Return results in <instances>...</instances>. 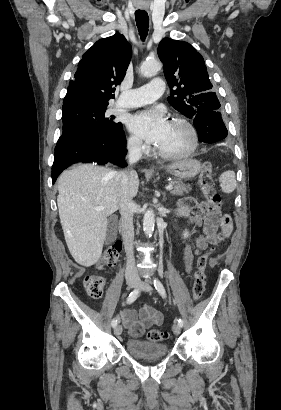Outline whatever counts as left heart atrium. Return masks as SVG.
Segmentation results:
<instances>
[{"mask_svg":"<svg viewBox=\"0 0 281 410\" xmlns=\"http://www.w3.org/2000/svg\"><path fill=\"white\" fill-rule=\"evenodd\" d=\"M168 125L160 108L138 112L128 120V127L132 132L155 144L162 140Z\"/></svg>","mask_w":281,"mask_h":410,"instance_id":"left-heart-atrium-1","label":"left heart atrium"}]
</instances>
